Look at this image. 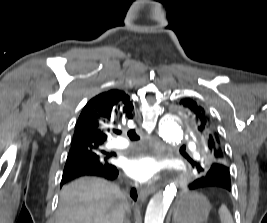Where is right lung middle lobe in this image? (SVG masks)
Returning a JSON list of instances; mask_svg holds the SVG:
<instances>
[{"instance_id":"right-lung-middle-lobe-1","label":"right lung middle lobe","mask_w":267,"mask_h":223,"mask_svg":"<svg viewBox=\"0 0 267 223\" xmlns=\"http://www.w3.org/2000/svg\"><path fill=\"white\" fill-rule=\"evenodd\" d=\"M112 153L93 145L80 146L69 151L63 173L75 172L88 167L103 168L109 165Z\"/></svg>"}]
</instances>
